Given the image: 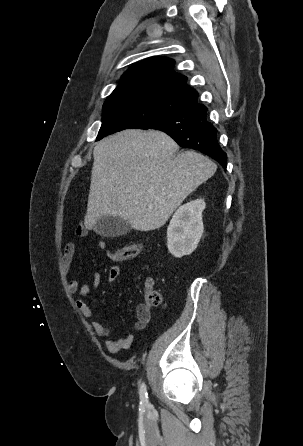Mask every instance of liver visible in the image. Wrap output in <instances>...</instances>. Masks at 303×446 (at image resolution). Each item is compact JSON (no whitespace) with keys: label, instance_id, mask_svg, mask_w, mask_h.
Wrapping results in <instances>:
<instances>
[{"label":"liver","instance_id":"6515ba94","mask_svg":"<svg viewBox=\"0 0 303 446\" xmlns=\"http://www.w3.org/2000/svg\"><path fill=\"white\" fill-rule=\"evenodd\" d=\"M177 150L173 139L154 130H125L101 140L93 151L85 227L108 216L138 231L162 227L217 169L200 153Z\"/></svg>","mask_w":303,"mask_h":446}]
</instances>
